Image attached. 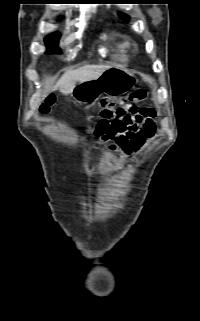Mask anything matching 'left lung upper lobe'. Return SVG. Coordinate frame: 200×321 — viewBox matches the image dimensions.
Returning a JSON list of instances; mask_svg holds the SVG:
<instances>
[{
	"label": "left lung upper lobe",
	"instance_id": "5c2ea615",
	"mask_svg": "<svg viewBox=\"0 0 200 321\" xmlns=\"http://www.w3.org/2000/svg\"><path fill=\"white\" fill-rule=\"evenodd\" d=\"M119 16L124 20H129V17L125 14H119Z\"/></svg>",
	"mask_w": 200,
	"mask_h": 321
}]
</instances>
